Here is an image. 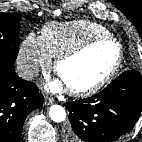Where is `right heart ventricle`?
<instances>
[{
    "label": "right heart ventricle",
    "mask_w": 142,
    "mask_h": 142,
    "mask_svg": "<svg viewBox=\"0 0 142 142\" xmlns=\"http://www.w3.org/2000/svg\"><path fill=\"white\" fill-rule=\"evenodd\" d=\"M109 34L108 29L98 23L76 20L47 23L42 29L40 38L51 58H57L91 38Z\"/></svg>",
    "instance_id": "1"
}]
</instances>
